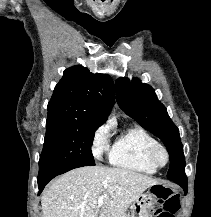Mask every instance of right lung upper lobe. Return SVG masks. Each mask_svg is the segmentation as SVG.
Here are the masks:
<instances>
[{
    "mask_svg": "<svg viewBox=\"0 0 211 217\" xmlns=\"http://www.w3.org/2000/svg\"><path fill=\"white\" fill-rule=\"evenodd\" d=\"M114 104L113 81L107 74L91 73L76 65L64 71L48 103V118L103 124Z\"/></svg>",
    "mask_w": 211,
    "mask_h": 217,
    "instance_id": "cb5924a9",
    "label": "right lung upper lobe"
}]
</instances>
